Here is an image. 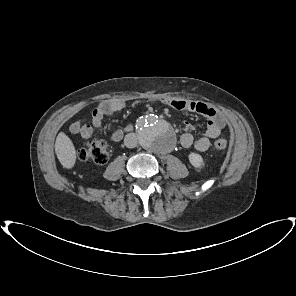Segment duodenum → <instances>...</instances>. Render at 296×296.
I'll list each match as a JSON object with an SVG mask.
<instances>
[{"label":"duodenum","instance_id":"obj_1","mask_svg":"<svg viewBox=\"0 0 296 296\" xmlns=\"http://www.w3.org/2000/svg\"><path fill=\"white\" fill-rule=\"evenodd\" d=\"M131 129V126L129 125L127 128H126V130H130Z\"/></svg>","mask_w":296,"mask_h":296}]
</instances>
